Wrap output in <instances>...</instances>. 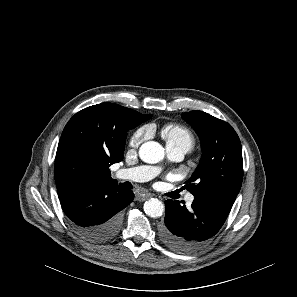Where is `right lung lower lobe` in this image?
I'll use <instances>...</instances> for the list:
<instances>
[{
    "label": "right lung lower lobe",
    "instance_id": "1",
    "mask_svg": "<svg viewBox=\"0 0 297 297\" xmlns=\"http://www.w3.org/2000/svg\"><path fill=\"white\" fill-rule=\"evenodd\" d=\"M59 198L75 229L87 240L103 243L119 233L122 210L133 201L134 194L116 180L83 179L59 193Z\"/></svg>",
    "mask_w": 297,
    "mask_h": 297
}]
</instances>
